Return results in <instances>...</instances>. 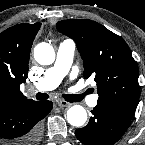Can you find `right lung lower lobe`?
Returning <instances> with one entry per match:
<instances>
[{
  "mask_svg": "<svg viewBox=\"0 0 145 145\" xmlns=\"http://www.w3.org/2000/svg\"><path fill=\"white\" fill-rule=\"evenodd\" d=\"M51 101L0 105V139L9 145H35L41 137L40 121L51 111Z\"/></svg>",
  "mask_w": 145,
  "mask_h": 145,
  "instance_id": "right-lung-lower-lobe-1",
  "label": "right lung lower lobe"
}]
</instances>
